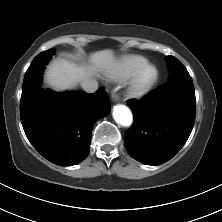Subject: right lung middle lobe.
Instances as JSON below:
<instances>
[{
	"label": "right lung middle lobe",
	"mask_w": 222,
	"mask_h": 222,
	"mask_svg": "<svg viewBox=\"0 0 222 222\" xmlns=\"http://www.w3.org/2000/svg\"><path fill=\"white\" fill-rule=\"evenodd\" d=\"M53 53L54 50L49 49L47 51L41 52L39 55H37L34 58L30 67L26 72L22 86V91H25L28 88L38 85L40 83L41 79L40 73L42 72V69L44 68L47 61L51 58V55Z\"/></svg>",
	"instance_id": "dd1d6c3e"
}]
</instances>
